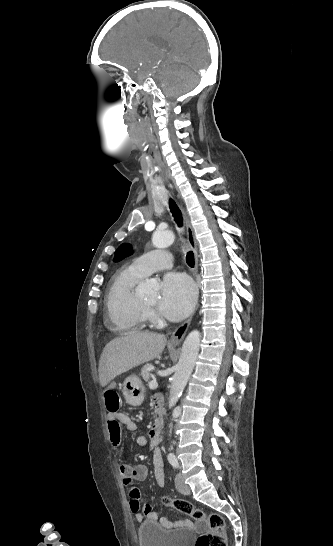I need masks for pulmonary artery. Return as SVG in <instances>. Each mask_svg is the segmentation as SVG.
<instances>
[{
	"mask_svg": "<svg viewBox=\"0 0 333 546\" xmlns=\"http://www.w3.org/2000/svg\"><path fill=\"white\" fill-rule=\"evenodd\" d=\"M131 266L147 276L153 272L171 268L173 266V256L165 250H153L135 258Z\"/></svg>",
	"mask_w": 333,
	"mask_h": 546,
	"instance_id": "pulmonary-artery-1",
	"label": "pulmonary artery"
}]
</instances>
